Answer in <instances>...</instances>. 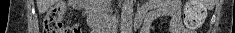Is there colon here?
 Instances as JSON below:
<instances>
[{"instance_id":"colon-1","label":"colon","mask_w":235,"mask_h":33,"mask_svg":"<svg viewBox=\"0 0 235 33\" xmlns=\"http://www.w3.org/2000/svg\"><path fill=\"white\" fill-rule=\"evenodd\" d=\"M66 13V5L59 2L46 14L43 23V33H80L77 25H65L63 17ZM205 9L199 0L186 1L183 9V20L188 29L195 30L203 22Z\"/></svg>"}]
</instances>
